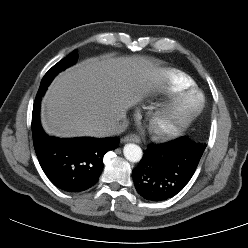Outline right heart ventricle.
Instances as JSON below:
<instances>
[{
  "mask_svg": "<svg viewBox=\"0 0 248 248\" xmlns=\"http://www.w3.org/2000/svg\"><path fill=\"white\" fill-rule=\"evenodd\" d=\"M167 84L168 92L172 94H180L194 87L193 80L184 72L177 70L169 73Z\"/></svg>",
  "mask_w": 248,
  "mask_h": 248,
  "instance_id": "e07e8e85",
  "label": "right heart ventricle"
}]
</instances>
